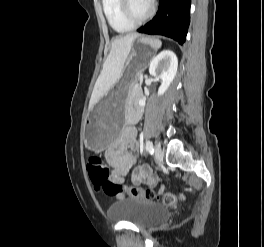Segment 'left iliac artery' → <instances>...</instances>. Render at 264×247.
<instances>
[{
    "instance_id": "1",
    "label": "left iliac artery",
    "mask_w": 264,
    "mask_h": 247,
    "mask_svg": "<svg viewBox=\"0 0 264 247\" xmlns=\"http://www.w3.org/2000/svg\"><path fill=\"white\" fill-rule=\"evenodd\" d=\"M146 150L150 153L153 154L154 149H153V144L150 140L146 141Z\"/></svg>"
}]
</instances>
